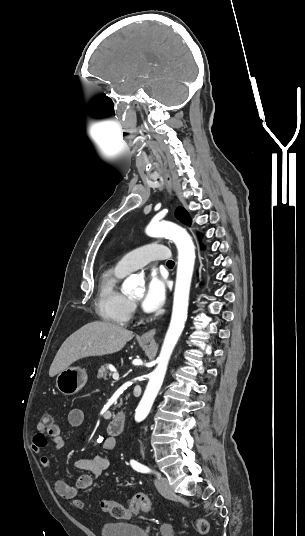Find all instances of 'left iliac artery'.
I'll return each instance as SVG.
<instances>
[{
	"mask_svg": "<svg viewBox=\"0 0 305 536\" xmlns=\"http://www.w3.org/2000/svg\"><path fill=\"white\" fill-rule=\"evenodd\" d=\"M130 463H131V466L138 472L149 473L151 471L148 467L140 464L139 462H137L135 460H131ZM158 476H159V474H158Z\"/></svg>",
	"mask_w": 305,
	"mask_h": 536,
	"instance_id": "obj_1",
	"label": "left iliac artery"
}]
</instances>
